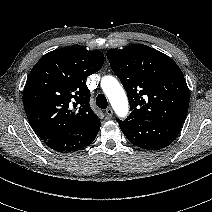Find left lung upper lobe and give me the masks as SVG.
Segmentation results:
<instances>
[{
	"mask_svg": "<svg viewBox=\"0 0 212 212\" xmlns=\"http://www.w3.org/2000/svg\"><path fill=\"white\" fill-rule=\"evenodd\" d=\"M107 58L123 84L131 113L119 126L142 120L183 123L189 106V89L178 65L167 55L142 44L109 49Z\"/></svg>",
	"mask_w": 212,
	"mask_h": 212,
	"instance_id": "1",
	"label": "left lung upper lobe"
}]
</instances>
